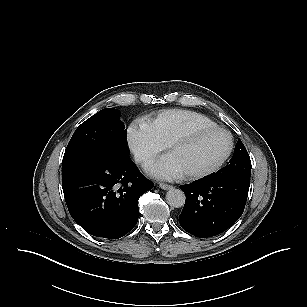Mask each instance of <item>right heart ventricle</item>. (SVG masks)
I'll use <instances>...</instances> for the list:
<instances>
[{
    "label": "right heart ventricle",
    "instance_id": "1",
    "mask_svg": "<svg viewBox=\"0 0 307 307\" xmlns=\"http://www.w3.org/2000/svg\"><path fill=\"white\" fill-rule=\"evenodd\" d=\"M144 125L154 139L162 147H166L194 129L216 126V123L204 114L195 111L169 109L161 111L155 117L146 119Z\"/></svg>",
    "mask_w": 307,
    "mask_h": 307
}]
</instances>
